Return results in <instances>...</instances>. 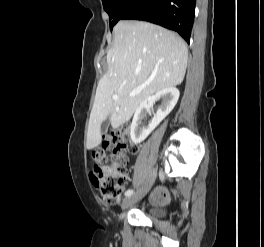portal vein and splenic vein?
Wrapping results in <instances>:
<instances>
[{
    "instance_id": "obj_1",
    "label": "portal vein and splenic vein",
    "mask_w": 264,
    "mask_h": 247,
    "mask_svg": "<svg viewBox=\"0 0 264 247\" xmlns=\"http://www.w3.org/2000/svg\"><path fill=\"white\" fill-rule=\"evenodd\" d=\"M139 91L140 90L134 91V92L130 93V97L135 96ZM112 99L113 100H118L119 99V96L117 94H115V95L112 96Z\"/></svg>"
}]
</instances>
